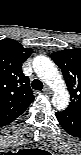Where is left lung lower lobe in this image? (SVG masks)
<instances>
[{"instance_id": "left-lung-lower-lobe-1", "label": "left lung lower lobe", "mask_w": 81, "mask_h": 155, "mask_svg": "<svg viewBox=\"0 0 81 155\" xmlns=\"http://www.w3.org/2000/svg\"><path fill=\"white\" fill-rule=\"evenodd\" d=\"M57 119L61 126L70 134L75 135L80 128V117L64 110L57 112Z\"/></svg>"}]
</instances>
